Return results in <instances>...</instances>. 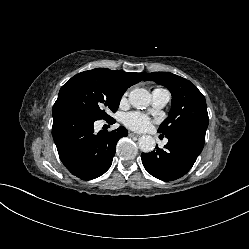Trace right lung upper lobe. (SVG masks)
Returning a JSON list of instances; mask_svg holds the SVG:
<instances>
[{"instance_id": "cb5924a9", "label": "right lung upper lobe", "mask_w": 249, "mask_h": 249, "mask_svg": "<svg viewBox=\"0 0 249 249\" xmlns=\"http://www.w3.org/2000/svg\"><path fill=\"white\" fill-rule=\"evenodd\" d=\"M93 72L99 73L118 88L126 91L130 86L140 82L146 75V73H136V72H125V71H115L105 68L93 69Z\"/></svg>"}]
</instances>
